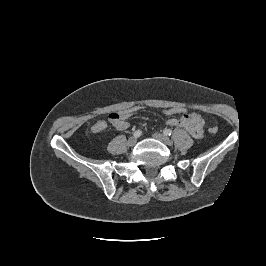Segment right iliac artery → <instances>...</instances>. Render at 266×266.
Wrapping results in <instances>:
<instances>
[{
    "label": "right iliac artery",
    "instance_id": "right-iliac-artery-1",
    "mask_svg": "<svg viewBox=\"0 0 266 266\" xmlns=\"http://www.w3.org/2000/svg\"><path fill=\"white\" fill-rule=\"evenodd\" d=\"M141 134H142V131H141V130H136V131L134 132V136H135V137H140Z\"/></svg>",
    "mask_w": 266,
    "mask_h": 266
}]
</instances>
